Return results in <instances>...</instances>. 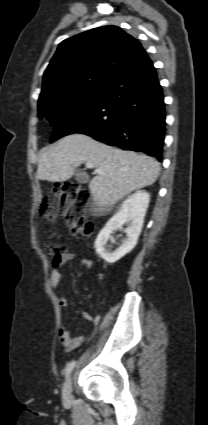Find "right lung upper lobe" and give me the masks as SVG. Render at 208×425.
Wrapping results in <instances>:
<instances>
[{
	"instance_id": "right-lung-upper-lobe-1",
	"label": "right lung upper lobe",
	"mask_w": 208,
	"mask_h": 425,
	"mask_svg": "<svg viewBox=\"0 0 208 425\" xmlns=\"http://www.w3.org/2000/svg\"><path fill=\"white\" fill-rule=\"evenodd\" d=\"M145 55L137 39L113 25L68 38L44 72L39 102L84 89H106Z\"/></svg>"
}]
</instances>
